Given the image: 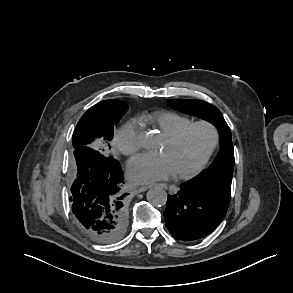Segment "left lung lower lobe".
Instances as JSON below:
<instances>
[{"mask_svg": "<svg viewBox=\"0 0 293 293\" xmlns=\"http://www.w3.org/2000/svg\"><path fill=\"white\" fill-rule=\"evenodd\" d=\"M229 178L197 177L168 195L165 224L177 240L193 241L213 232L226 215L231 199Z\"/></svg>", "mask_w": 293, "mask_h": 293, "instance_id": "obj_1", "label": "left lung lower lobe"}]
</instances>
